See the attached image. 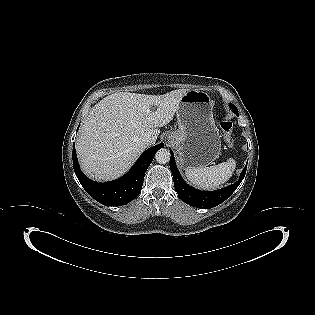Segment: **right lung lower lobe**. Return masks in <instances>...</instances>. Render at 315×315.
<instances>
[{
	"instance_id": "right-lung-lower-lobe-1",
	"label": "right lung lower lobe",
	"mask_w": 315,
	"mask_h": 315,
	"mask_svg": "<svg viewBox=\"0 0 315 315\" xmlns=\"http://www.w3.org/2000/svg\"><path fill=\"white\" fill-rule=\"evenodd\" d=\"M163 147L164 144L160 143L146 150L127 174L111 182L97 183L86 177L79 167L75 146H73V167L83 188L96 201L106 206L125 205L139 195L145 172L155 153Z\"/></svg>"
}]
</instances>
